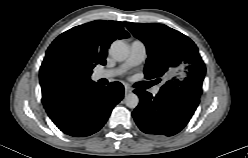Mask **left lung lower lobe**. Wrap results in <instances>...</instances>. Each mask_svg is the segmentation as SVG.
Masks as SVG:
<instances>
[{"label":"left lung lower lobe","mask_w":248,"mask_h":158,"mask_svg":"<svg viewBox=\"0 0 248 158\" xmlns=\"http://www.w3.org/2000/svg\"><path fill=\"white\" fill-rule=\"evenodd\" d=\"M140 103L132 115L138 127L146 134L172 136L190 121L199 98L182 93L153 97L147 91L134 90Z\"/></svg>","instance_id":"left-lung-lower-lobe-1"}]
</instances>
